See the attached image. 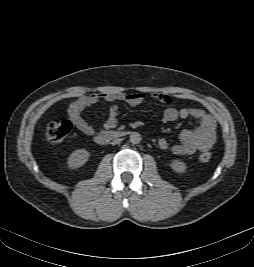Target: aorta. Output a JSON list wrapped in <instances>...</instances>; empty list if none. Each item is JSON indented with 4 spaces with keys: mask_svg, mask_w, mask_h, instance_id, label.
Here are the masks:
<instances>
[{
    "mask_svg": "<svg viewBox=\"0 0 254 267\" xmlns=\"http://www.w3.org/2000/svg\"><path fill=\"white\" fill-rule=\"evenodd\" d=\"M141 135L137 132H132L130 135V142L132 144H139L141 142Z\"/></svg>",
    "mask_w": 254,
    "mask_h": 267,
    "instance_id": "obj_1",
    "label": "aorta"
}]
</instances>
